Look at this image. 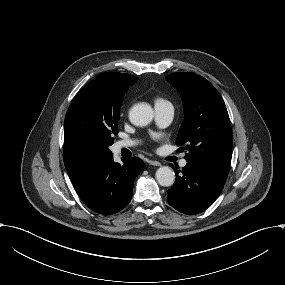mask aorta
Returning a JSON list of instances; mask_svg holds the SVG:
<instances>
[{"label": "aorta", "mask_w": 285, "mask_h": 285, "mask_svg": "<svg viewBox=\"0 0 285 285\" xmlns=\"http://www.w3.org/2000/svg\"><path fill=\"white\" fill-rule=\"evenodd\" d=\"M130 122L135 126H146L153 119V109L148 104H138L129 112ZM156 179L161 186H171L175 181V174L168 166H162L156 171Z\"/></svg>", "instance_id": "aorta-1"}]
</instances>
